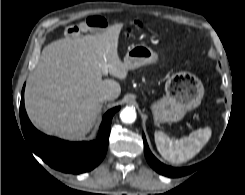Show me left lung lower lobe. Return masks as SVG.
Here are the masks:
<instances>
[{
  "instance_id": "0a47b994",
  "label": "left lung lower lobe",
  "mask_w": 245,
  "mask_h": 195,
  "mask_svg": "<svg viewBox=\"0 0 245 195\" xmlns=\"http://www.w3.org/2000/svg\"><path fill=\"white\" fill-rule=\"evenodd\" d=\"M143 140H144V153H145L146 159L148 163L150 164V166L158 173L164 176H167V177H180V176L190 174L196 170L198 165H193V166L186 167V168H173V167H170V166H167L161 163L151 153L147 145L144 134H143Z\"/></svg>"
}]
</instances>
